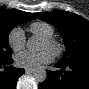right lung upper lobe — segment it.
<instances>
[{"mask_svg":"<svg viewBox=\"0 0 89 89\" xmlns=\"http://www.w3.org/2000/svg\"><path fill=\"white\" fill-rule=\"evenodd\" d=\"M0 15H7V16L13 17V18H16L17 20L24 21V23L35 19L33 14L16 10V9L6 10L4 8H0Z\"/></svg>","mask_w":89,"mask_h":89,"instance_id":"right-lung-upper-lobe-1","label":"right lung upper lobe"}]
</instances>
